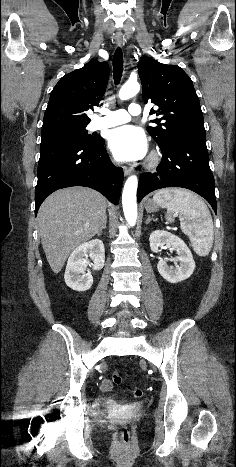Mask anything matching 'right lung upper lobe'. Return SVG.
Returning a JSON list of instances; mask_svg holds the SVG:
<instances>
[{
  "label": "right lung upper lobe",
  "instance_id": "cb5924a9",
  "mask_svg": "<svg viewBox=\"0 0 236 467\" xmlns=\"http://www.w3.org/2000/svg\"><path fill=\"white\" fill-rule=\"evenodd\" d=\"M109 65L91 60L63 76L53 88L42 130L62 126H87L86 111L98 106L108 83Z\"/></svg>",
  "mask_w": 236,
  "mask_h": 467
}]
</instances>
